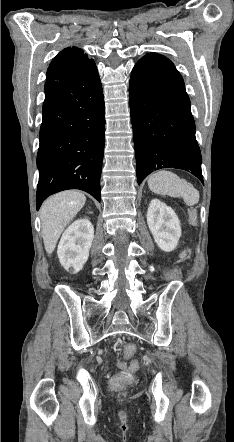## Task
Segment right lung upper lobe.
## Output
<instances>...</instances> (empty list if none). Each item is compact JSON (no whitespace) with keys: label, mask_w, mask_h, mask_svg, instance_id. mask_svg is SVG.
Returning <instances> with one entry per match:
<instances>
[{"label":"right lung upper lobe","mask_w":234,"mask_h":442,"mask_svg":"<svg viewBox=\"0 0 234 442\" xmlns=\"http://www.w3.org/2000/svg\"><path fill=\"white\" fill-rule=\"evenodd\" d=\"M94 64L83 51L76 47H68L59 52L50 63L46 81H66Z\"/></svg>","instance_id":"right-lung-upper-lobe-1"}]
</instances>
